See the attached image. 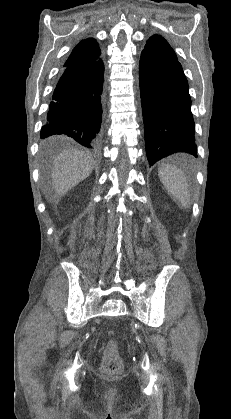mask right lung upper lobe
I'll return each instance as SVG.
<instances>
[{
  "mask_svg": "<svg viewBox=\"0 0 231 419\" xmlns=\"http://www.w3.org/2000/svg\"><path fill=\"white\" fill-rule=\"evenodd\" d=\"M100 54L101 51L98 43L93 38H87L77 44L64 65L96 61L98 60Z\"/></svg>",
  "mask_w": 231,
  "mask_h": 419,
  "instance_id": "1",
  "label": "right lung upper lobe"
}]
</instances>
